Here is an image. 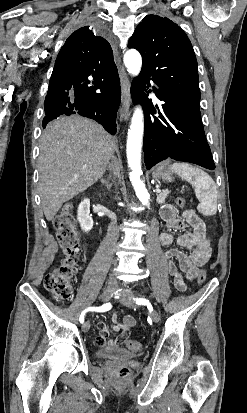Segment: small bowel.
I'll return each instance as SVG.
<instances>
[{
  "label": "small bowel",
  "mask_w": 247,
  "mask_h": 413,
  "mask_svg": "<svg viewBox=\"0 0 247 413\" xmlns=\"http://www.w3.org/2000/svg\"><path fill=\"white\" fill-rule=\"evenodd\" d=\"M161 216L168 229L192 228L191 232H185L177 237L169 232L160 235V242L163 246L176 242L189 252V254H184L177 249H171L165 253L167 271L174 278V287L178 291H185L187 280L197 277L198 271L206 261L204 254L210 249V242L206 237V226L200 216L192 209L185 210L181 217L177 218L174 208L165 206L161 211ZM111 322L113 331L120 332V334H117L116 337L111 336L109 343L106 340H98L96 342L98 349H106L107 346L110 349H119L121 343L123 347H126V338L131 336L130 329L136 324V319L132 315H125L121 322L118 315L114 313L111 316ZM95 329L100 338L109 336L106 322H97Z\"/></svg>",
  "instance_id": "1"
}]
</instances>
